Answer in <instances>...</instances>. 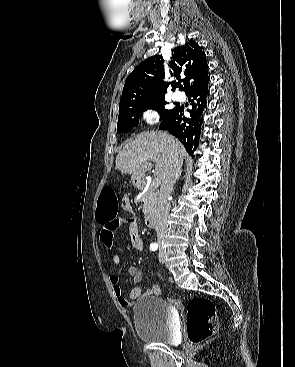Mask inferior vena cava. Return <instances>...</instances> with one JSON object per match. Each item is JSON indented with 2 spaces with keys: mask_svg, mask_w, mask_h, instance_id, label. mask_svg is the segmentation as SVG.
Masks as SVG:
<instances>
[{
  "mask_svg": "<svg viewBox=\"0 0 295 367\" xmlns=\"http://www.w3.org/2000/svg\"><path fill=\"white\" fill-rule=\"evenodd\" d=\"M181 165L174 163L161 184L158 196L157 221L155 226L159 245L164 241L167 234V220L170 211L169 197L172 193L173 185L175 184L180 173Z\"/></svg>",
  "mask_w": 295,
  "mask_h": 367,
  "instance_id": "obj_1",
  "label": "inferior vena cava"
}]
</instances>
